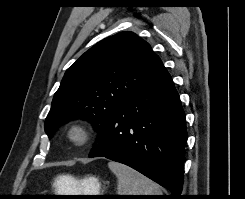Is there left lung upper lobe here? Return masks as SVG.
Wrapping results in <instances>:
<instances>
[{
  "label": "left lung upper lobe",
  "instance_id": "5c2ea615",
  "mask_svg": "<svg viewBox=\"0 0 245 199\" xmlns=\"http://www.w3.org/2000/svg\"><path fill=\"white\" fill-rule=\"evenodd\" d=\"M162 64L150 45L132 32L110 36L71 65L45 120L51 138L62 123L83 119L101 137L111 113L136 94Z\"/></svg>",
  "mask_w": 245,
  "mask_h": 199
}]
</instances>
